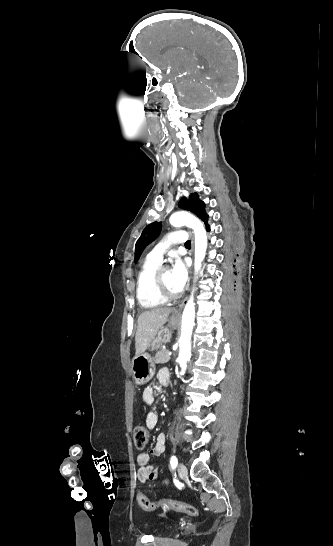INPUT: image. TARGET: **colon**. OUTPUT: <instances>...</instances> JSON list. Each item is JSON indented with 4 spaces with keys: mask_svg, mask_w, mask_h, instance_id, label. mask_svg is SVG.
<instances>
[{
    "mask_svg": "<svg viewBox=\"0 0 333 546\" xmlns=\"http://www.w3.org/2000/svg\"><path fill=\"white\" fill-rule=\"evenodd\" d=\"M149 440H150V433L146 427L142 425H137L134 427L133 441H134V445L136 449L138 450L144 449L148 445ZM137 498H138V503L140 507L144 511L150 512V511L156 510L159 507H163V508H168L171 510L183 512L190 516L199 515V511L196 507L184 502L167 499V498L161 499L159 501H151L142 493H139Z\"/></svg>",
    "mask_w": 333,
    "mask_h": 546,
    "instance_id": "colon-1",
    "label": "colon"
}]
</instances>
